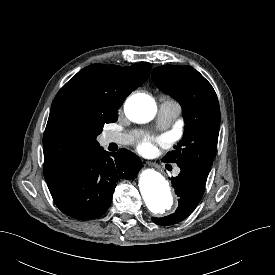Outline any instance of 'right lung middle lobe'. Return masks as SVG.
Listing matches in <instances>:
<instances>
[{
  "mask_svg": "<svg viewBox=\"0 0 275 275\" xmlns=\"http://www.w3.org/2000/svg\"><path fill=\"white\" fill-rule=\"evenodd\" d=\"M117 119H118V115L116 114V115L112 116L111 118L100 121L99 124H98V127H97L98 134H100L102 132L103 126H104L105 123L115 122V121H117Z\"/></svg>",
  "mask_w": 275,
  "mask_h": 275,
  "instance_id": "dd1d6c3e",
  "label": "right lung middle lobe"
}]
</instances>
